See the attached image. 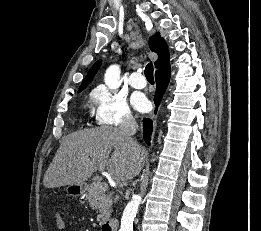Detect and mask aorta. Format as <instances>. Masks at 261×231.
<instances>
[{
	"instance_id": "aorta-1",
	"label": "aorta",
	"mask_w": 261,
	"mask_h": 231,
	"mask_svg": "<svg viewBox=\"0 0 261 231\" xmlns=\"http://www.w3.org/2000/svg\"><path fill=\"white\" fill-rule=\"evenodd\" d=\"M120 67L118 65L110 66L104 75V82L110 89H116L120 86ZM141 196L136 195L127 204L121 218V227L119 231H133V221L136 217Z\"/></svg>"
}]
</instances>
